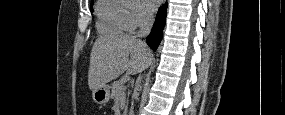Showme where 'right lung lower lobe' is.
Listing matches in <instances>:
<instances>
[{"label": "right lung lower lobe", "instance_id": "obj_1", "mask_svg": "<svg viewBox=\"0 0 285 115\" xmlns=\"http://www.w3.org/2000/svg\"><path fill=\"white\" fill-rule=\"evenodd\" d=\"M166 9H167V3L165 4V6L159 9L155 23L152 27V31L147 37V44L154 51L157 49L162 39V32L165 26V19H166Z\"/></svg>", "mask_w": 285, "mask_h": 115}]
</instances>
